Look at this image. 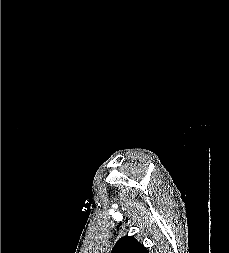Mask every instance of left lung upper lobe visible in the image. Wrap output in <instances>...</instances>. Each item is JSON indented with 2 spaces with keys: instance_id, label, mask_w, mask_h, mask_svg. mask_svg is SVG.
I'll return each mask as SVG.
<instances>
[{
  "instance_id": "obj_1",
  "label": "left lung upper lobe",
  "mask_w": 229,
  "mask_h": 253,
  "mask_svg": "<svg viewBox=\"0 0 229 253\" xmlns=\"http://www.w3.org/2000/svg\"><path fill=\"white\" fill-rule=\"evenodd\" d=\"M111 253H149L133 236H125L117 241Z\"/></svg>"
}]
</instances>
